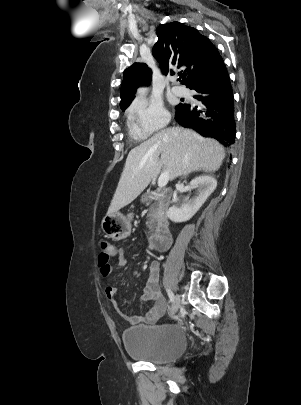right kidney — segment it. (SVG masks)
<instances>
[{
	"mask_svg": "<svg viewBox=\"0 0 301 405\" xmlns=\"http://www.w3.org/2000/svg\"><path fill=\"white\" fill-rule=\"evenodd\" d=\"M190 186L192 188L197 187L199 194L194 199L185 203L181 208L177 206L170 207L167 211V217L171 221L186 222L190 220L216 189L217 181L212 176L201 175L194 178L190 182Z\"/></svg>",
	"mask_w": 301,
	"mask_h": 405,
	"instance_id": "right-kidney-1",
	"label": "right kidney"
}]
</instances>
